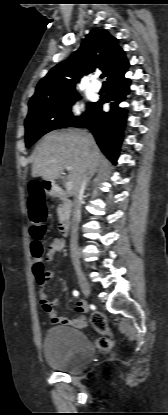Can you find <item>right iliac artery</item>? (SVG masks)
<instances>
[{
  "mask_svg": "<svg viewBox=\"0 0 168 415\" xmlns=\"http://www.w3.org/2000/svg\"><path fill=\"white\" fill-rule=\"evenodd\" d=\"M73 295L77 297V296H79V292L77 290H74Z\"/></svg>",
  "mask_w": 168,
  "mask_h": 415,
  "instance_id": "right-iliac-artery-1",
  "label": "right iliac artery"
}]
</instances>
